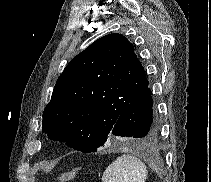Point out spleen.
Here are the masks:
<instances>
[{"mask_svg": "<svg viewBox=\"0 0 211 182\" xmlns=\"http://www.w3.org/2000/svg\"><path fill=\"white\" fill-rule=\"evenodd\" d=\"M146 165L133 155H122L113 161L102 176L103 182H145Z\"/></svg>", "mask_w": 211, "mask_h": 182, "instance_id": "obj_1", "label": "spleen"}]
</instances>
